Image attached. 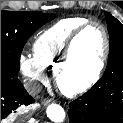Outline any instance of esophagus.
<instances>
[{
    "label": "esophagus",
    "instance_id": "obj_1",
    "mask_svg": "<svg viewBox=\"0 0 123 123\" xmlns=\"http://www.w3.org/2000/svg\"><path fill=\"white\" fill-rule=\"evenodd\" d=\"M52 101H53V100H52L51 98H45V99L42 100V104H43L44 106H46V105L52 103Z\"/></svg>",
    "mask_w": 123,
    "mask_h": 123
}]
</instances>
